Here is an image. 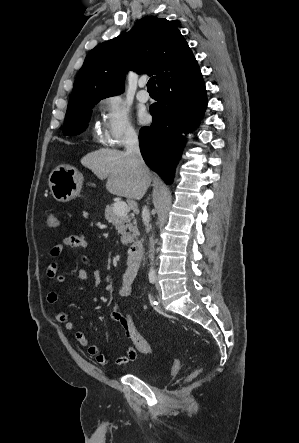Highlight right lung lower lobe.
Segmentation results:
<instances>
[{
    "label": "right lung lower lobe",
    "instance_id": "right-lung-lower-lobe-1",
    "mask_svg": "<svg viewBox=\"0 0 299 443\" xmlns=\"http://www.w3.org/2000/svg\"><path fill=\"white\" fill-rule=\"evenodd\" d=\"M159 99L150 106L153 122L139 133L146 164L171 184L185 138L198 125L207 106L205 84L197 67L189 74L158 85Z\"/></svg>",
    "mask_w": 299,
    "mask_h": 443
}]
</instances>
